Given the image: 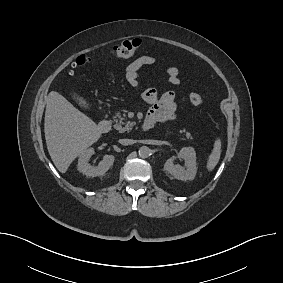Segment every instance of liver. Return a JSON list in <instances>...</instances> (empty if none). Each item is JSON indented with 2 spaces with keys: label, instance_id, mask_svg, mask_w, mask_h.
I'll return each mask as SVG.
<instances>
[{
  "label": "liver",
  "instance_id": "6515ba94",
  "mask_svg": "<svg viewBox=\"0 0 283 283\" xmlns=\"http://www.w3.org/2000/svg\"><path fill=\"white\" fill-rule=\"evenodd\" d=\"M44 132L49 155L61 173L101 136L91 118L55 91L47 98Z\"/></svg>",
  "mask_w": 283,
  "mask_h": 283
}]
</instances>
